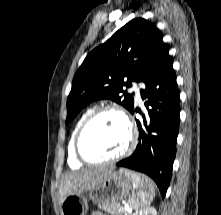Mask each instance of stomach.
<instances>
[{
    "mask_svg": "<svg viewBox=\"0 0 221 215\" xmlns=\"http://www.w3.org/2000/svg\"><path fill=\"white\" fill-rule=\"evenodd\" d=\"M141 181V174L125 169L111 171L103 180L88 193L68 195L61 204V215H85L88 211V201L94 204H110L125 199L134 190V176Z\"/></svg>",
    "mask_w": 221,
    "mask_h": 215,
    "instance_id": "1",
    "label": "stomach"
}]
</instances>
